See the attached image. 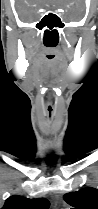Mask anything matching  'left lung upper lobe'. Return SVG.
<instances>
[{"mask_svg": "<svg viewBox=\"0 0 98 209\" xmlns=\"http://www.w3.org/2000/svg\"><path fill=\"white\" fill-rule=\"evenodd\" d=\"M71 209H98V190L87 187L64 195Z\"/></svg>", "mask_w": 98, "mask_h": 209, "instance_id": "left-lung-upper-lobe-1", "label": "left lung upper lobe"}]
</instances>
